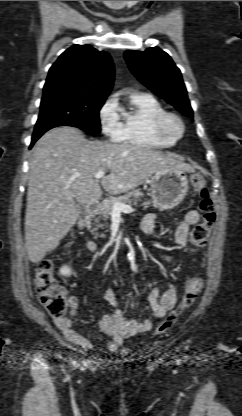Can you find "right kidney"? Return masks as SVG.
Segmentation results:
<instances>
[{"label":"right kidney","instance_id":"ca27d5eb","mask_svg":"<svg viewBox=\"0 0 242 416\" xmlns=\"http://www.w3.org/2000/svg\"><path fill=\"white\" fill-rule=\"evenodd\" d=\"M60 274H61V275H63V276L68 277V276H70V275H71V270H70V268H69L68 266H63V267L60 269Z\"/></svg>","mask_w":242,"mask_h":416}]
</instances>
